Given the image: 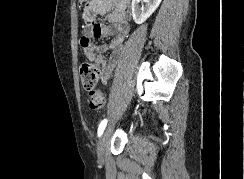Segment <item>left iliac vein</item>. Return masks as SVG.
<instances>
[{
    "instance_id": "left-iliac-vein-1",
    "label": "left iliac vein",
    "mask_w": 244,
    "mask_h": 179,
    "mask_svg": "<svg viewBox=\"0 0 244 179\" xmlns=\"http://www.w3.org/2000/svg\"><path fill=\"white\" fill-rule=\"evenodd\" d=\"M110 138V127L106 128L101 140L98 142L97 154L101 161L105 160L106 147Z\"/></svg>"
}]
</instances>
